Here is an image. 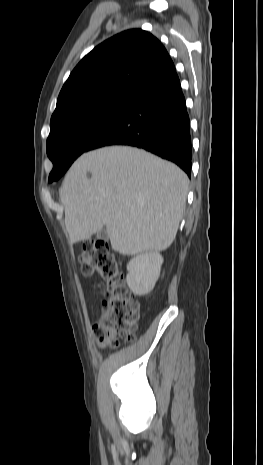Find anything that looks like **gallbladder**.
<instances>
[{
	"label": "gallbladder",
	"mask_w": 263,
	"mask_h": 465,
	"mask_svg": "<svg viewBox=\"0 0 263 465\" xmlns=\"http://www.w3.org/2000/svg\"><path fill=\"white\" fill-rule=\"evenodd\" d=\"M97 238L102 239V240H108V234L105 228L101 229L99 232H97Z\"/></svg>",
	"instance_id": "obj_1"
}]
</instances>
